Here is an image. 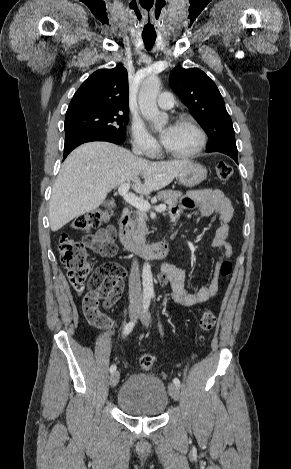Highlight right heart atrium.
<instances>
[{
	"mask_svg": "<svg viewBox=\"0 0 291 469\" xmlns=\"http://www.w3.org/2000/svg\"><path fill=\"white\" fill-rule=\"evenodd\" d=\"M131 142L136 150L145 155L153 154L158 147L156 139L140 121L132 122Z\"/></svg>",
	"mask_w": 291,
	"mask_h": 469,
	"instance_id": "1",
	"label": "right heart atrium"
}]
</instances>
